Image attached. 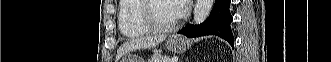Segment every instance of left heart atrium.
<instances>
[{"label":"left heart atrium","instance_id":"obj_1","mask_svg":"<svg viewBox=\"0 0 331 62\" xmlns=\"http://www.w3.org/2000/svg\"><path fill=\"white\" fill-rule=\"evenodd\" d=\"M173 2L178 16L182 15L186 11L189 3L188 0H174Z\"/></svg>","mask_w":331,"mask_h":62}]
</instances>
